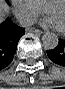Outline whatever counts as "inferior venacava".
<instances>
[{"label": "inferior vena cava", "instance_id": "inferior-vena-cava-1", "mask_svg": "<svg viewBox=\"0 0 65 89\" xmlns=\"http://www.w3.org/2000/svg\"><path fill=\"white\" fill-rule=\"evenodd\" d=\"M30 24H31V20H28V22L25 23V26L30 25Z\"/></svg>", "mask_w": 65, "mask_h": 89}]
</instances>
